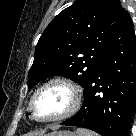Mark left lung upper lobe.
<instances>
[{"instance_id":"5c2ea615","label":"left lung upper lobe","mask_w":136,"mask_h":136,"mask_svg":"<svg viewBox=\"0 0 136 136\" xmlns=\"http://www.w3.org/2000/svg\"><path fill=\"white\" fill-rule=\"evenodd\" d=\"M126 15L118 0H77L61 11L38 41L28 86L63 75L84 88Z\"/></svg>"}]
</instances>
